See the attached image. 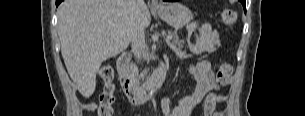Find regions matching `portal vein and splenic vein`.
Returning a JSON list of instances; mask_svg holds the SVG:
<instances>
[{"label": "portal vein and splenic vein", "mask_w": 305, "mask_h": 116, "mask_svg": "<svg viewBox=\"0 0 305 116\" xmlns=\"http://www.w3.org/2000/svg\"><path fill=\"white\" fill-rule=\"evenodd\" d=\"M172 39V37L171 36H168L167 38H166V41H170Z\"/></svg>", "instance_id": "portal-vein-and-splenic-vein-1"}]
</instances>
